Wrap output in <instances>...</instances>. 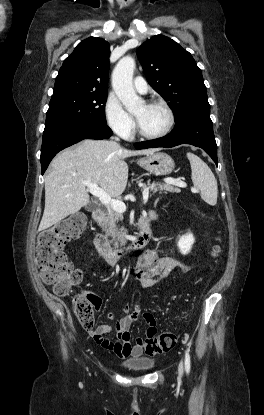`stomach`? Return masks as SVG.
Masks as SVG:
<instances>
[{"instance_id": "obj_1", "label": "stomach", "mask_w": 264, "mask_h": 415, "mask_svg": "<svg viewBox=\"0 0 264 415\" xmlns=\"http://www.w3.org/2000/svg\"><path fill=\"white\" fill-rule=\"evenodd\" d=\"M140 167L156 176H164L170 174L175 163L173 159L166 153L154 152L138 160Z\"/></svg>"}]
</instances>
